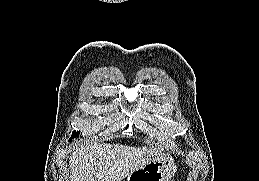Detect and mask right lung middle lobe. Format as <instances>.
<instances>
[{
	"mask_svg": "<svg viewBox=\"0 0 259 181\" xmlns=\"http://www.w3.org/2000/svg\"><path fill=\"white\" fill-rule=\"evenodd\" d=\"M78 135H79V132L73 131V133H72V136H71L70 140H71L72 138H74V137L78 136Z\"/></svg>",
	"mask_w": 259,
	"mask_h": 181,
	"instance_id": "1",
	"label": "right lung middle lobe"
}]
</instances>
